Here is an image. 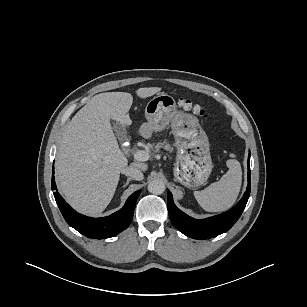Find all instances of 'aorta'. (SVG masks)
Segmentation results:
<instances>
[{"instance_id":"obj_1","label":"aorta","mask_w":307,"mask_h":307,"mask_svg":"<svg viewBox=\"0 0 307 307\" xmlns=\"http://www.w3.org/2000/svg\"><path fill=\"white\" fill-rule=\"evenodd\" d=\"M148 191L152 194H162L165 191V184L160 179L151 180L148 184Z\"/></svg>"}]
</instances>
